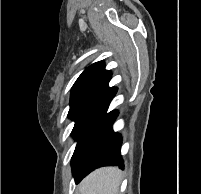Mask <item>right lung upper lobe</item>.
Returning a JSON list of instances; mask_svg holds the SVG:
<instances>
[{
    "label": "right lung upper lobe",
    "mask_w": 201,
    "mask_h": 194,
    "mask_svg": "<svg viewBox=\"0 0 201 194\" xmlns=\"http://www.w3.org/2000/svg\"><path fill=\"white\" fill-rule=\"evenodd\" d=\"M111 79V71L105 70L103 61L88 66L78 77L71 90L70 104L90 103L112 88L108 86Z\"/></svg>",
    "instance_id": "cb5924a9"
}]
</instances>
